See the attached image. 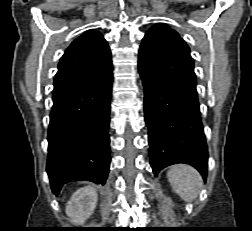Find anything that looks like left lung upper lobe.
Listing matches in <instances>:
<instances>
[{"label":"left lung upper lobe","instance_id":"left-lung-upper-lobe-1","mask_svg":"<svg viewBox=\"0 0 252 231\" xmlns=\"http://www.w3.org/2000/svg\"><path fill=\"white\" fill-rule=\"evenodd\" d=\"M148 42H167L178 44L184 49L190 51L189 47L179 34L164 23H157L153 25L148 32H146L145 37L142 40V44Z\"/></svg>","mask_w":252,"mask_h":231}]
</instances>
